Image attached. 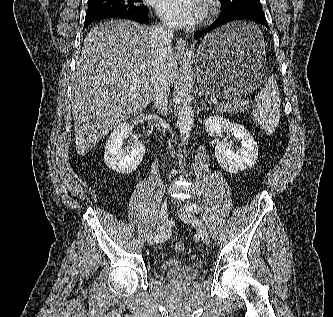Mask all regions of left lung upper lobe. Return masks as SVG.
<instances>
[{
  "instance_id": "1",
  "label": "left lung upper lobe",
  "mask_w": 333,
  "mask_h": 317,
  "mask_svg": "<svg viewBox=\"0 0 333 317\" xmlns=\"http://www.w3.org/2000/svg\"><path fill=\"white\" fill-rule=\"evenodd\" d=\"M222 12H228L246 7L261 6L260 0H220Z\"/></svg>"
}]
</instances>
